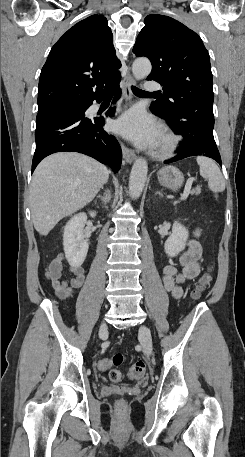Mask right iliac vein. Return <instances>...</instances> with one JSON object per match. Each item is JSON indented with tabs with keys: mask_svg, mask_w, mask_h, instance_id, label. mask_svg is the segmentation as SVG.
<instances>
[{
	"mask_svg": "<svg viewBox=\"0 0 245 457\" xmlns=\"http://www.w3.org/2000/svg\"><path fill=\"white\" fill-rule=\"evenodd\" d=\"M108 333V327L105 322H102L99 329V336L103 338Z\"/></svg>",
	"mask_w": 245,
	"mask_h": 457,
	"instance_id": "1",
	"label": "right iliac vein"
}]
</instances>
